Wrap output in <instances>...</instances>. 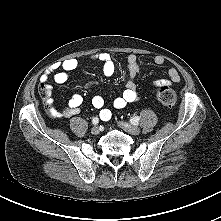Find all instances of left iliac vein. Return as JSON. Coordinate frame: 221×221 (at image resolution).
I'll return each instance as SVG.
<instances>
[{"label":"left iliac vein","mask_w":221,"mask_h":221,"mask_svg":"<svg viewBox=\"0 0 221 221\" xmlns=\"http://www.w3.org/2000/svg\"><path fill=\"white\" fill-rule=\"evenodd\" d=\"M119 126L125 130L126 132L132 134V135H138L140 133V129L137 126L128 124L126 122H120Z\"/></svg>","instance_id":"left-iliac-vein-1"}]
</instances>
